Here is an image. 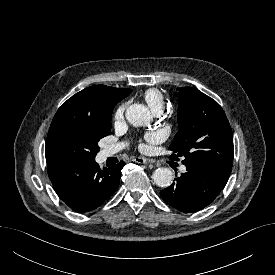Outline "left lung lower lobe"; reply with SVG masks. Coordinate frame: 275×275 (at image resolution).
<instances>
[{
    "mask_svg": "<svg viewBox=\"0 0 275 275\" xmlns=\"http://www.w3.org/2000/svg\"><path fill=\"white\" fill-rule=\"evenodd\" d=\"M186 169L171 186L160 191L168 205L185 213L201 210L212 203L231 173V169L209 164L186 165Z\"/></svg>",
    "mask_w": 275,
    "mask_h": 275,
    "instance_id": "obj_1",
    "label": "left lung lower lobe"
}]
</instances>
